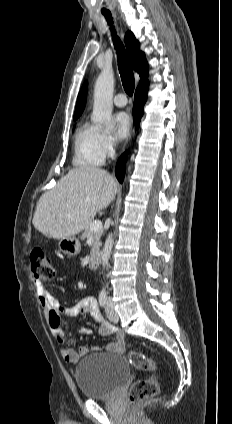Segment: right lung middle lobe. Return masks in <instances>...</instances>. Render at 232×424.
Listing matches in <instances>:
<instances>
[{"label": "right lung middle lobe", "mask_w": 232, "mask_h": 424, "mask_svg": "<svg viewBox=\"0 0 232 424\" xmlns=\"http://www.w3.org/2000/svg\"><path fill=\"white\" fill-rule=\"evenodd\" d=\"M78 118V116L77 117H74V120H76Z\"/></svg>", "instance_id": "1"}]
</instances>
